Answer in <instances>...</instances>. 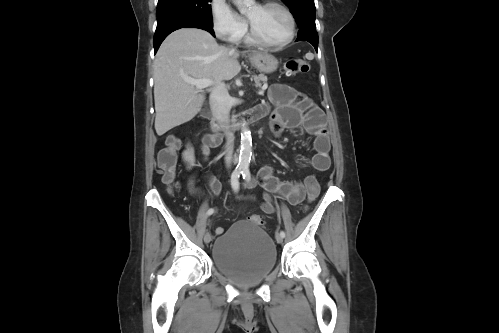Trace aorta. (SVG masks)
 I'll return each mask as SVG.
<instances>
[{
	"instance_id": "aorta-1",
	"label": "aorta",
	"mask_w": 499,
	"mask_h": 333,
	"mask_svg": "<svg viewBox=\"0 0 499 333\" xmlns=\"http://www.w3.org/2000/svg\"><path fill=\"white\" fill-rule=\"evenodd\" d=\"M240 12H246L248 7L253 3V0H237ZM252 156V138L251 133L247 126L243 125L241 130V146L239 154L238 168L245 170L249 168L250 160Z\"/></svg>"
}]
</instances>
